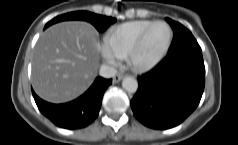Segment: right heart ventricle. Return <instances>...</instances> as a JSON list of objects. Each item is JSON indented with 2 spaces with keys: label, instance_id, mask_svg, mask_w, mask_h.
<instances>
[{
  "label": "right heart ventricle",
  "instance_id": "obj_1",
  "mask_svg": "<svg viewBox=\"0 0 238 145\" xmlns=\"http://www.w3.org/2000/svg\"><path fill=\"white\" fill-rule=\"evenodd\" d=\"M153 22L136 20L110 29L103 37L104 47L115 57L124 59L142 32Z\"/></svg>",
  "mask_w": 238,
  "mask_h": 145
}]
</instances>
